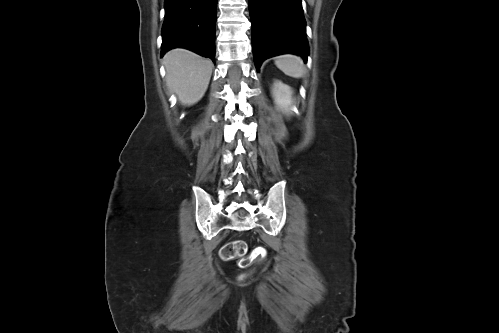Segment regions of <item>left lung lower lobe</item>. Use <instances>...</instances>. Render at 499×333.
Here are the masks:
<instances>
[{"label": "left lung lower lobe", "mask_w": 499, "mask_h": 333, "mask_svg": "<svg viewBox=\"0 0 499 333\" xmlns=\"http://www.w3.org/2000/svg\"><path fill=\"white\" fill-rule=\"evenodd\" d=\"M257 70L267 58L291 53L307 61L306 22L301 0H248Z\"/></svg>", "instance_id": "1"}]
</instances>
